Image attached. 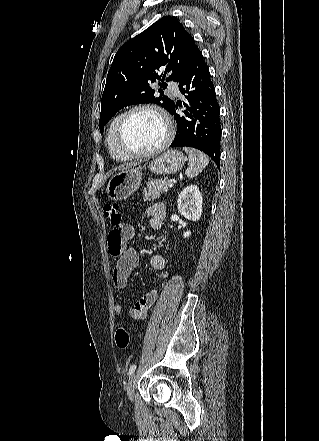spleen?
I'll list each match as a JSON object with an SVG mask.
<instances>
[{"label": "spleen", "mask_w": 319, "mask_h": 441, "mask_svg": "<svg viewBox=\"0 0 319 441\" xmlns=\"http://www.w3.org/2000/svg\"><path fill=\"white\" fill-rule=\"evenodd\" d=\"M183 150L188 154L189 166L185 174L189 178L196 177L209 163L208 157L201 151L184 147Z\"/></svg>", "instance_id": "1"}]
</instances>
